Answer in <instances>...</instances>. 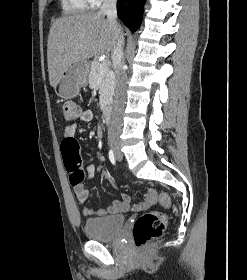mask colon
<instances>
[{"mask_svg":"<svg viewBox=\"0 0 247 280\" xmlns=\"http://www.w3.org/2000/svg\"><path fill=\"white\" fill-rule=\"evenodd\" d=\"M66 119L75 120L79 117L80 109L75 102L68 101L63 106ZM61 151L66 171L74 191H87L89 185L85 182V171L82 168V161L79 154V144L76 139H66L62 141ZM148 198H155L164 208L170 207V197L155 190L147 192ZM167 220L163 213L158 211L146 212L140 215L133 226V239L137 247H143L151 240L160 237L165 228Z\"/></svg>","mask_w":247,"mask_h":280,"instance_id":"1","label":"colon"}]
</instances>
